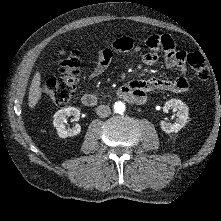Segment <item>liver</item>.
Wrapping results in <instances>:
<instances>
[{
  "label": "liver",
  "mask_w": 221,
  "mask_h": 221,
  "mask_svg": "<svg viewBox=\"0 0 221 221\" xmlns=\"http://www.w3.org/2000/svg\"><path fill=\"white\" fill-rule=\"evenodd\" d=\"M41 88V75L40 72L37 71L33 76L30 89H29V97H28V105L30 108H34L42 95Z\"/></svg>",
  "instance_id": "6515ba94"
}]
</instances>
